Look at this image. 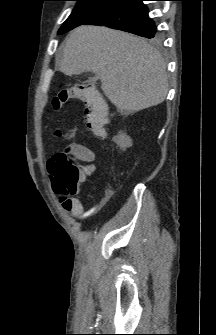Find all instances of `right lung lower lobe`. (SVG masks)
<instances>
[{"label": "right lung lower lobe", "mask_w": 216, "mask_h": 335, "mask_svg": "<svg viewBox=\"0 0 216 335\" xmlns=\"http://www.w3.org/2000/svg\"><path fill=\"white\" fill-rule=\"evenodd\" d=\"M145 0H117L83 25H104L146 38L157 36L155 22L148 16Z\"/></svg>", "instance_id": "right-lung-lower-lobe-1"}]
</instances>
